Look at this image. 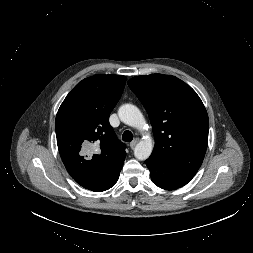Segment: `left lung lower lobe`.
Wrapping results in <instances>:
<instances>
[{"label": "left lung lower lobe", "instance_id": "obj_1", "mask_svg": "<svg viewBox=\"0 0 253 253\" xmlns=\"http://www.w3.org/2000/svg\"><path fill=\"white\" fill-rule=\"evenodd\" d=\"M145 164L150 170L152 182L162 189L174 190L180 188L193 178L190 174L165 167L152 158H148Z\"/></svg>", "mask_w": 253, "mask_h": 253}]
</instances>
